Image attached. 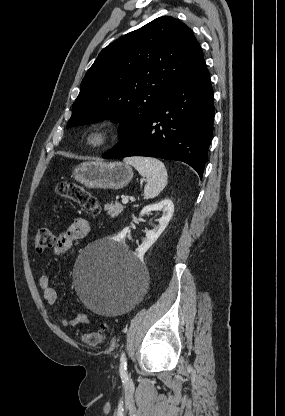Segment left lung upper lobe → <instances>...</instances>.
Listing matches in <instances>:
<instances>
[{
	"label": "left lung upper lobe",
	"instance_id": "left-lung-upper-lobe-1",
	"mask_svg": "<svg viewBox=\"0 0 285 416\" xmlns=\"http://www.w3.org/2000/svg\"><path fill=\"white\" fill-rule=\"evenodd\" d=\"M203 54L192 30L159 17L104 48L86 73L67 128L110 119L119 138L147 119L197 69Z\"/></svg>",
	"mask_w": 285,
	"mask_h": 416
}]
</instances>
